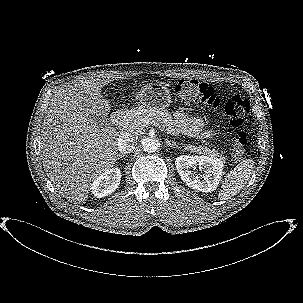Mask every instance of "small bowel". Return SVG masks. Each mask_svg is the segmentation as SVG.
Returning a JSON list of instances; mask_svg holds the SVG:
<instances>
[{
	"instance_id": "obj_1",
	"label": "small bowel",
	"mask_w": 303,
	"mask_h": 303,
	"mask_svg": "<svg viewBox=\"0 0 303 303\" xmlns=\"http://www.w3.org/2000/svg\"><path fill=\"white\" fill-rule=\"evenodd\" d=\"M176 124L180 131L189 137L210 138L214 135L210 131L203 130L202 120L199 117L184 111L176 113Z\"/></svg>"
}]
</instances>
